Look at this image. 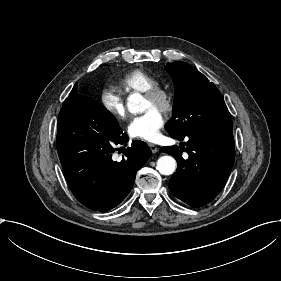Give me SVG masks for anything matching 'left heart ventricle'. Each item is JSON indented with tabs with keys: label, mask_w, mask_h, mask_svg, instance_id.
<instances>
[{
	"label": "left heart ventricle",
	"mask_w": 281,
	"mask_h": 281,
	"mask_svg": "<svg viewBox=\"0 0 281 281\" xmlns=\"http://www.w3.org/2000/svg\"><path fill=\"white\" fill-rule=\"evenodd\" d=\"M151 108H153V107H152L151 104L145 99V100H144V104H143V111H147V110H149V109H151Z\"/></svg>",
	"instance_id": "1"
}]
</instances>
